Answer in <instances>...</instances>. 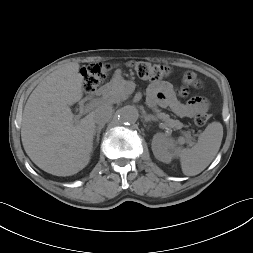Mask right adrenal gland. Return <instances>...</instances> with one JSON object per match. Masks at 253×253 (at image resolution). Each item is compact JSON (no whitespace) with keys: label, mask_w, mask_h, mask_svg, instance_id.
I'll use <instances>...</instances> for the list:
<instances>
[{"label":"right adrenal gland","mask_w":253,"mask_h":253,"mask_svg":"<svg viewBox=\"0 0 253 253\" xmlns=\"http://www.w3.org/2000/svg\"><path fill=\"white\" fill-rule=\"evenodd\" d=\"M103 128H104V125H101V126L96 127V129H95L94 136H96L97 145H98V143H99L100 133H101V130H102Z\"/></svg>","instance_id":"obj_1"}]
</instances>
